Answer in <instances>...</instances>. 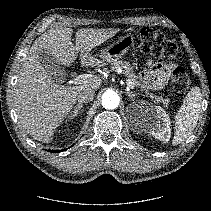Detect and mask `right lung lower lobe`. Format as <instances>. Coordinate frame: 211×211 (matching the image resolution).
<instances>
[{
  "label": "right lung lower lobe",
  "instance_id": "obj_1",
  "mask_svg": "<svg viewBox=\"0 0 211 211\" xmlns=\"http://www.w3.org/2000/svg\"><path fill=\"white\" fill-rule=\"evenodd\" d=\"M65 150V149H64ZM64 150H61V151H64ZM48 152H52V153H58V152H60L59 150H48Z\"/></svg>",
  "mask_w": 211,
  "mask_h": 211
}]
</instances>
